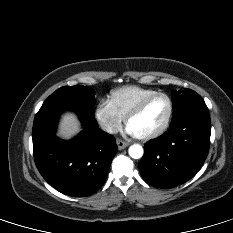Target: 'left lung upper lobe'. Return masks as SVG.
<instances>
[{
    "label": "left lung upper lobe",
    "instance_id": "1",
    "mask_svg": "<svg viewBox=\"0 0 233 233\" xmlns=\"http://www.w3.org/2000/svg\"><path fill=\"white\" fill-rule=\"evenodd\" d=\"M173 118L172 121L192 112H208L204 100L191 89L173 91Z\"/></svg>",
    "mask_w": 233,
    "mask_h": 233
}]
</instances>
